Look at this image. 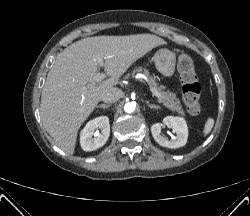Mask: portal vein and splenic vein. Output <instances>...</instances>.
Returning <instances> with one entry per match:
<instances>
[{
    "mask_svg": "<svg viewBox=\"0 0 250 216\" xmlns=\"http://www.w3.org/2000/svg\"><path fill=\"white\" fill-rule=\"evenodd\" d=\"M104 60L105 58L104 57H98L97 58V62L102 66L103 63H104ZM106 77V75L104 73H98L94 79L96 82H100L101 80H103L104 78ZM150 91L152 92L153 96L155 97H161V94L156 90L154 89L153 87H149Z\"/></svg>",
    "mask_w": 250,
    "mask_h": 216,
    "instance_id": "18ae733b",
    "label": "portal vein and splenic vein"
}]
</instances>
